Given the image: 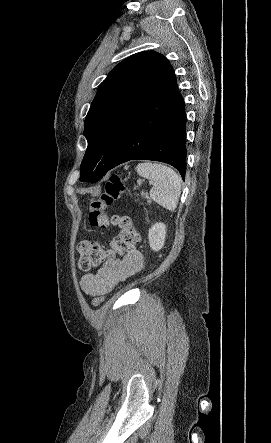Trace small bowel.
<instances>
[{
  "mask_svg": "<svg viewBox=\"0 0 271 443\" xmlns=\"http://www.w3.org/2000/svg\"><path fill=\"white\" fill-rule=\"evenodd\" d=\"M141 252L132 249L121 257L115 255L95 273L85 274L80 280L81 289L88 295H105L117 287L121 282L138 273L143 267Z\"/></svg>",
  "mask_w": 271,
  "mask_h": 443,
  "instance_id": "1",
  "label": "small bowel"
}]
</instances>
